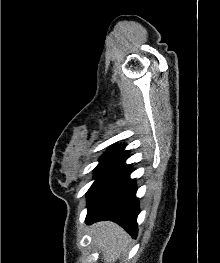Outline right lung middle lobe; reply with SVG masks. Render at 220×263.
I'll use <instances>...</instances> for the list:
<instances>
[{
    "mask_svg": "<svg viewBox=\"0 0 220 263\" xmlns=\"http://www.w3.org/2000/svg\"><path fill=\"white\" fill-rule=\"evenodd\" d=\"M115 156V154L112 153H105L102 155V157L100 158V163L98 164V166L95 168V171L97 173V175L99 174V172L102 170V168Z\"/></svg>",
    "mask_w": 220,
    "mask_h": 263,
    "instance_id": "obj_1",
    "label": "right lung middle lobe"
}]
</instances>
